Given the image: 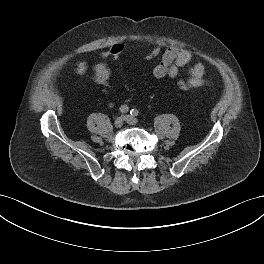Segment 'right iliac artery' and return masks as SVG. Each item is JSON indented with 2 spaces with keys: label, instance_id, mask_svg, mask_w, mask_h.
<instances>
[{
  "label": "right iliac artery",
  "instance_id": "1",
  "mask_svg": "<svg viewBox=\"0 0 264 264\" xmlns=\"http://www.w3.org/2000/svg\"><path fill=\"white\" fill-rule=\"evenodd\" d=\"M119 111L123 114V113H127L129 111V107L127 105H122L119 108Z\"/></svg>",
  "mask_w": 264,
  "mask_h": 264
}]
</instances>
